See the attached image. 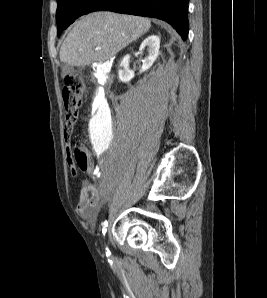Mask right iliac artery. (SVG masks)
Here are the masks:
<instances>
[{
    "mask_svg": "<svg viewBox=\"0 0 267 298\" xmlns=\"http://www.w3.org/2000/svg\"><path fill=\"white\" fill-rule=\"evenodd\" d=\"M107 226H108L107 220H105L104 222H102V233H103L104 236H105V234L107 232ZM106 255H107V257H110V255H111V252H110V250L107 247H106Z\"/></svg>",
    "mask_w": 267,
    "mask_h": 298,
    "instance_id": "obj_1",
    "label": "right iliac artery"
}]
</instances>
